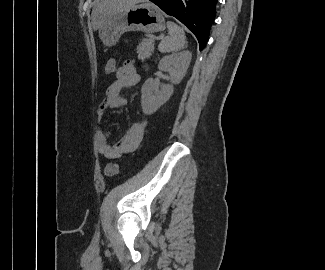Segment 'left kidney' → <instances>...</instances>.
Here are the masks:
<instances>
[{"instance_id": "1", "label": "left kidney", "mask_w": 325, "mask_h": 270, "mask_svg": "<svg viewBox=\"0 0 325 270\" xmlns=\"http://www.w3.org/2000/svg\"><path fill=\"white\" fill-rule=\"evenodd\" d=\"M192 53L188 50L163 57L158 69L170 74L171 84L164 85L160 90L152 78L145 81L141 89V106L145 114L151 115L166 103L174 92L173 85L179 84L190 65Z\"/></svg>"}]
</instances>
